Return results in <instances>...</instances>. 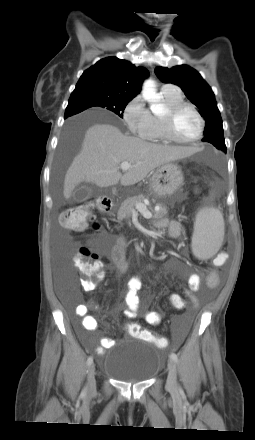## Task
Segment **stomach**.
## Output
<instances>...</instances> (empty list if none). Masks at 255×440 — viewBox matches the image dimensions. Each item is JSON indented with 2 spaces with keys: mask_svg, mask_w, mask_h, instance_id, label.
Returning a JSON list of instances; mask_svg holds the SVG:
<instances>
[{
  "mask_svg": "<svg viewBox=\"0 0 255 440\" xmlns=\"http://www.w3.org/2000/svg\"><path fill=\"white\" fill-rule=\"evenodd\" d=\"M184 177L181 168L173 163L158 167L150 178V186L158 197L174 194L182 185Z\"/></svg>",
  "mask_w": 255,
  "mask_h": 440,
  "instance_id": "0dacf381",
  "label": "stomach"
}]
</instances>
